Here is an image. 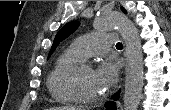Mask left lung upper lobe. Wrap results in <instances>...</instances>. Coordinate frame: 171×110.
<instances>
[{
	"mask_svg": "<svg viewBox=\"0 0 171 110\" xmlns=\"http://www.w3.org/2000/svg\"><path fill=\"white\" fill-rule=\"evenodd\" d=\"M123 12H126L124 9H122ZM79 25L78 21H72L64 25L59 32L56 34L53 45L51 47V50L49 52V56L55 51L58 44L64 40L66 37H68L71 33H73Z\"/></svg>",
	"mask_w": 171,
	"mask_h": 110,
	"instance_id": "left-lung-upper-lobe-1",
	"label": "left lung upper lobe"
}]
</instances>
